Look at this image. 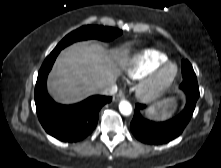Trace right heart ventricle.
I'll list each match as a JSON object with an SVG mask.
<instances>
[{"instance_id": "e07e8e85", "label": "right heart ventricle", "mask_w": 221, "mask_h": 168, "mask_svg": "<svg viewBox=\"0 0 221 168\" xmlns=\"http://www.w3.org/2000/svg\"><path fill=\"white\" fill-rule=\"evenodd\" d=\"M167 60V55L159 50H144L133 57V66L127 74L131 79H141Z\"/></svg>"}]
</instances>
